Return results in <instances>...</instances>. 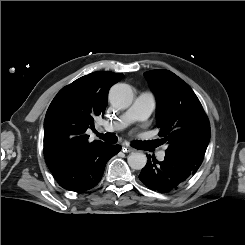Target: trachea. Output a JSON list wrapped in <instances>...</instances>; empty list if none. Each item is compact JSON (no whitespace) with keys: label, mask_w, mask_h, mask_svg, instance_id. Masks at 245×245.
Returning <instances> with one entry per match:
<instances>
[{"label":"trachea","mask_w":245,"mask_h":245,"mask_svg":"<svg viewBox=\"0 0 245 245\" xmlns=\"http://www.w3.org/2000/svg\"><path fill=\"white\" fill-rule=\"evenodd\" d=\"M97 136H99V138L100 139H102V140H104L105 142H107V143H110V144H115V143H117V141H118V138L116 137V135L115 134H113V133H106V134H99V133H97ZM134 146L135 147H138V146H141V142L140 141H136L135 143H134Z\"/></svg>","instance_id":"trachea-1"}]
</instances>
